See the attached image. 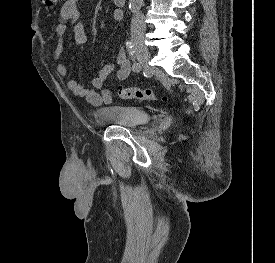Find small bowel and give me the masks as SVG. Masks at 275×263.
<instances>
[{
    "instance_id": "obj_1",
    "label": "small bowel",
    "mask_w": 275,
    "mask_h": 263,
    "mask_svg": "<svg viewBox=\"0 0 275 263\" xmlns=\"http://www.w3.org/2000/svg\"><path fill=\"white\" fill-rule=\"evenodd\" d=\"M79 0H66L60 10V20L56 26L57 44L54 50V59L58 61L57 72L60 76L68 75L67 67L60 62L63 53L64 35L69 25H73V38L77 45H84L87 41V33L83 24L79 21ZM112 19L119 23L122 20V12L115 9L112 12ZM131 73V63L126 52L121 49L116 56V64L107 63L92 79V89L86 88L75 79L67 80V87L76 96L85 98L86 101L95 107L112 103L113 95L109 89L104 88L108 77L113 76L115 81H123Z\"/></svg>"
}]
</instances>
